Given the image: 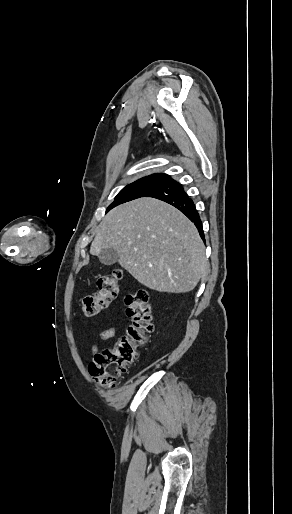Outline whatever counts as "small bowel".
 Returning a JSON list of instances; mask_svg holds the SVG:
<instances>
[{
  "mask_svg": "<svg viewBox=\"0 0 292 514\" xmlns=\"http://www.w3.org/2000/svg\"><path fill=\"white\" fill-rule=\"evenodd\" d=\"M122 332H123V329L121 327H118V326H112V327H109V328H106V329H104L102 331L97 332L94 335V341H92L91 344H90V353H91V355H95L97 353V351H98V346L96 344V340H100V341L110 340V339L118 336Z\"/></svg>",
  "mask_w": 292,
  "mask_h": 514,
  "instance_id": "small-bowel-1",
  "label": "small bowel"
}]
</instances>
